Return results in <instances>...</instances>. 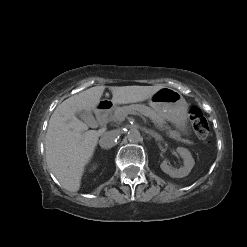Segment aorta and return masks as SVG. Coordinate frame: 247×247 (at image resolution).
Masks as SVG:
<instances>
[{
    "label": "aorta",
    "instance_id": "762f6f07",
    "mask_svg": "<svg viewBox=\"0 0 247 247\" xmlns=\"http://www.w3.org/2000/svg\"><path fill=\"white\" fill-rule=\"evenodd\" d=\"M127 138L131 143H138L143 139L139 130L135 128H132L127 132Z\"/></svg>",
    "mask_w": 247,
    "mask_h": 247
}]
</instances>
